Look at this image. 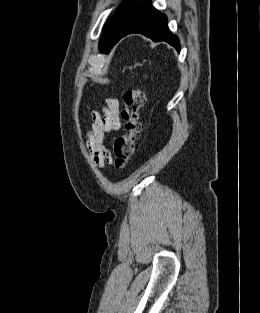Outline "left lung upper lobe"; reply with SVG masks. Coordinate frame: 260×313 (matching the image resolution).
<instances>
[{"label":"left lung upper lobe","instance_id":"1","mask_svg":"<svg viewBox=\"0 0 260 313\" xmlns=\"http://www.w3.org/2000/svg\"><path fill=\"white\" fill-rule=\"evenodd\" d=\"M151 5V0H123L103 29L99 50L108 53L126 29Z\"/></svg>","mask_w":260,"mask_h":313}]
</instances>
